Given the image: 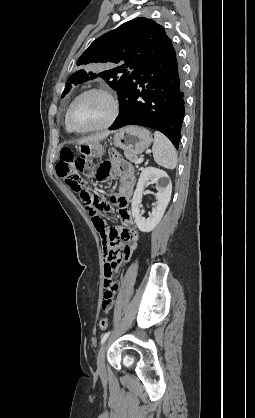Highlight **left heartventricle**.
Masks as SVG:
<instances>
[{"mask_svg": "<svg viewBox=\"0 0 255 418\" xmlns=\"http://www.w3.org/2000/svg\"><path fill=\"white\" fill-rule=\"evenodd\" d=\"M111 112L109 100L93 93L82 97L74 106L71 123L78 129H87L104 123Z\"/></svg>", "mask_w": 255, "mask_h": 418, "instance_id": "obj_1", "label": "left heart ventricle"}]
</instances>
